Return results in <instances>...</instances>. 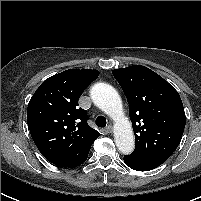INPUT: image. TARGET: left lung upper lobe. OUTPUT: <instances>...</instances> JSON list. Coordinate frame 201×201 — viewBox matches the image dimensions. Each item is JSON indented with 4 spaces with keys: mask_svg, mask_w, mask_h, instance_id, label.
Here are the masks:
<instances>
[{
    "mask_svg": "<svg viewBox=\"0 0 201 201\" xmlns=\"http://www.w3.org/2000/svg\"><path fill=\"white\" fill-rule=\"evenodd\" d=\"M113 76L129 104L139 160H167L178 147L185 128V112L178 92L149 68L134 65L115 69Z\"/></svg>",
    "mask_w": 201,
    "mask_h": 201,
    "instance_id": "5c2ea615",
    "label": "left lung upper lobe"
}]
</instances>
